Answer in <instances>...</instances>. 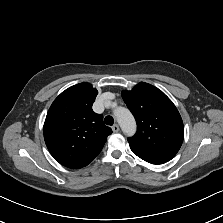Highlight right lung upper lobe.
Masks as SVG:
<instances>
[{
    "mask_svg": "<svg viewBox=\"0 0 223 223\" xmlns=\"http://www.w3.org/2000/svg\"><path fill=\"white\" fill-rule=\"evenodd\" d=\"M98 91L79 83L63 91L52 103L44 123V139L51 155L65 167L88 165L102 150L111 128L92 110Z\"/></svg>",
    "mask_w": 223,
    "mask_h": 223,
    "instance_id": "cb5924a9",
    "label": "right lung upper lobe"
}]
</instances>
